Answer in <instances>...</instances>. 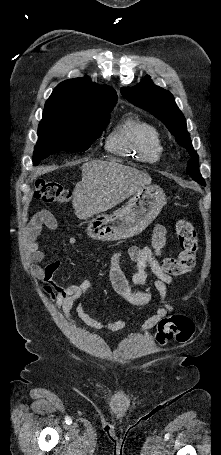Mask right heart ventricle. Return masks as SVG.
Here are the masks:
<instances>
[{
  "instance_id": "right-heart-ventricle-1",
  "label": "right heart ventricle",
  "mask_w": 221,
  "mask_h": 455,
  "mask_svg": "<svg viewBox=\"0 0 221 455\" xmlns=\"http://www.w3.org/2000/svg\"><path fill=\"white\" fill-rule=\"evenodd\" d=\"M106 148L113 154L132 156L143 162H155L163 152L156 127L135 115H127L120 121L108 136Z\"/></svg>"
}]
</instances>
